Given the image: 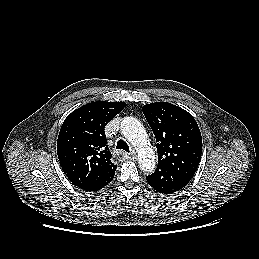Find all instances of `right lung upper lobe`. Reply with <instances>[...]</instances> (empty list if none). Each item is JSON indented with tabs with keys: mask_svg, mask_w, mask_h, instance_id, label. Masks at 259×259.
I'll return each mask as SVG.
<instances>
[{
	"mask_svg": "<svg viewBox=\"0 0 259 259\" xmlns=\"http://www.w3.org/2000/svg\"><path fill=\"white\" fill-rule=\"evenodd\" d=\"M124 102L88 103L67 116L57 140L62 170L77 187L91 186L115 172L104 128Z\"/></svg>",
	"mask_w": 259,
	"mask_h": 259,
	"instance_id": "cb5924a9",
	"label": "right lung upper lobe"
}]
</instances>
